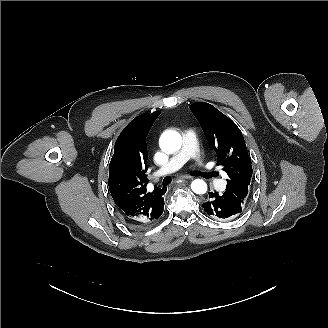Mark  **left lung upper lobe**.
Wrapping results in <instances>:
<instances>
[{"label": "left lung upper lobe", "mask_w": 328, "mask_h": 328, "mask_svg": "<svg viewBox=\"0 0 328 328\" xmlns=\"http://www.w3.org/2000/svg\"><path fill=\"white\" fill-rule=\"evenodd\" d=\"M190 109L217 153V164L228 175L223 196L239 205L244 204L253 170L242 132L211 104L196 102Z\"/></svg>", "instance_id": "5c2ea615"}]
</instances>
